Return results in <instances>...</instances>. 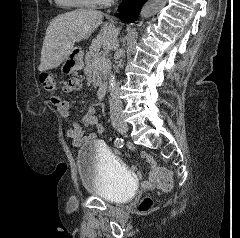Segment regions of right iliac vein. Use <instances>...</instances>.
<instances>
[{
	"instance_id": "obj_1",
	"label": "right iliac vein",
	"mask_w": 240,
	"mask_h": 238,
	"mask_svg": "<svg viewBox=\"0 0 240 238\" xmlns=\"http://www.w3.org/2000/svg\"><path fill=\"white\" fill-rule=\"evenodd\" d=\"M116 129L120 133L124 134V133H126L128 131V125L126 123H124V122H119V123L116 124Z\"/></svg>"
}]
</instances>
